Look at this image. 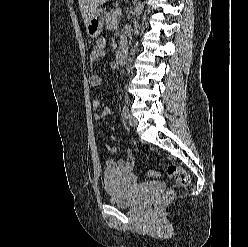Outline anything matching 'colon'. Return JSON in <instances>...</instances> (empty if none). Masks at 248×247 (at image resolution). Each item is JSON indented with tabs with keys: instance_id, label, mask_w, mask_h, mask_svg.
<instances>
[{
	"instance_id": "5ec220e1",
	"label": "colon",
	"mask_w": 248,
	"mask_h": 247,
	"mask_svg": "<svg viewBox=\"0 0 248 247\" xmlns=\"http://www.w3.org/2000/svg\"><path fill=\"white\" fill-rule=\"evenodd\" d=\"M167 174L170 179H172L178 186L187 187L190 183V176L187 171L180 165L171 164L167 168ZM149 177H157L158 173L156 171H149ZM175 196V191L173 189L168 190L158 201L157 204H164Z\"/></svg>"
}]
</instances>
